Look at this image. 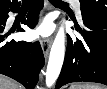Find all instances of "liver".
I'll return each mask as SVG.
<instances>
[{
	"instance_id": "liver-1",
	"label": "liver",
	"mask_w": 107,
	"mask_h": 89,
	"mask_svg": "<svg viewBox=\"0 0 107 89\" xmlns=\"http://www.w3.org/2000/svg\"><path fill=\"white\" fill-rule=\"evenodd\" d=\"M0 89H22L15 81L7 77L1 76Z\"/></svg>"
}]
</instances>
